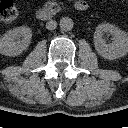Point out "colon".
<instances>
[{"mask_svg":"<svg viewBox=\"0 0 128 128\" xmlns=\"http://www.w3.org/2000/svg\"><path fill=\"white\" fill-rule=\"evenodd\" d=\"M17 16L16 0H0V22L10 24Z\"/></svg>","mask_w":128,"mask_h":128,"instance_id":"1","label":"colon"}]
</instances>
